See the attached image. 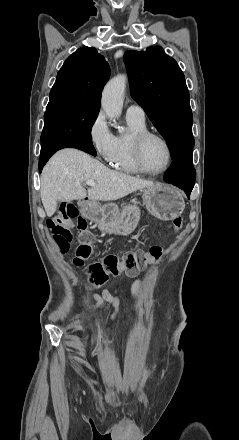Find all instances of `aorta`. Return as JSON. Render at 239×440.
I'll return each mask as SVG.
<instances>
[{
	"label": "aorta",
	"mask_w": 239,
	"mask_h": 440,
	"mask_svg": "<svg viewBox=\"0 0 239 440\" xmlns=\"http://www.w3.org/2000/svg\"><path fill=\"white\" fill-rule=\"evenodd\" d=\"M127 76L119 74L109 80L102 92L101 106L108 118H119L122 114ZM125 132V130H120Z\"/></svg>",
	"instance_id": "obj_1"
}]
</instances>
